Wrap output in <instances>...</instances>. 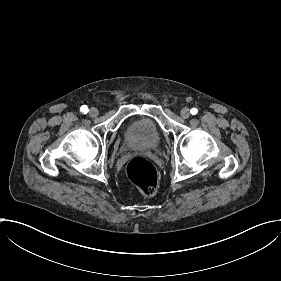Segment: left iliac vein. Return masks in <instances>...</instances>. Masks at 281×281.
Wrapping results in <instances>:
<instances>
[{"label": "left iliac vein", "mask_w": 281, "mask_h": 281, "mask_svg": "<svg viewBox=\"0 0 281 281\" xmlns=\"http://www.w3.org/2000/svg\"><path fill=\"white\" fill-rule=\"evenodd\" d=\"M189 113H190L189 108L184 107V108H182V110H181L180 116H181V118L186 119V118L189 117V115H190Z\"/></svg>", "instance_id": "1"}]
</instances>
